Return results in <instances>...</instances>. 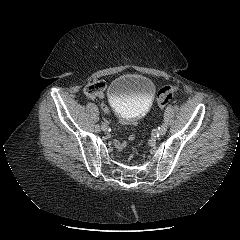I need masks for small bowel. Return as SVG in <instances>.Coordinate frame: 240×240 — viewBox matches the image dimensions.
I'll use <instances>...</instances> for the list:
<instances>
[{"mask_svg":"<svg viewBox=\"0 0 240 240\" xmlns=\"http://www.w3.org/2000/svg\"><path fill=\"white\" fill-rule=\"evenodd\" d=\"M105 97H106V94L104 92H101V93L98 94V99L99 100H104ZM99 108L102 111V117L103 118H110L111 117V112L109 111L108 106L106 105L105 102H100L99 103ZM134 140H135L134 135L129 134L126 137V140L115 141L114 144H115V146L118 150H123L126 147L127 142L132 143V142H134Z\"/></svg>","mask_w":240,"mask_h":240,"instance_id":"obj_1","label":"small bowel"}]
</instances>
